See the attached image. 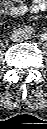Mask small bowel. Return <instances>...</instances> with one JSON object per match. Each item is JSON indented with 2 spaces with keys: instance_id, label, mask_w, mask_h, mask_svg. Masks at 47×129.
Returning a JSON list of instances; mask_svg holds the SVG:
<instances>
[{
  "instance_id": "c3829d8e",
  "label": "small bowel",
  "mask_w": 47,
  "mask_h": 129,
  "mask_svg": "<svg viewBox=\"0 0 47 129\" xmlns=\"http://www.w3.org/2000/svg\"><path fill=\"white\" fill-rule=\"evenodd\" d=\"M47 10L46 0H3L1 13L7 16H22Z\"/></svg>"
}]
</instances>
